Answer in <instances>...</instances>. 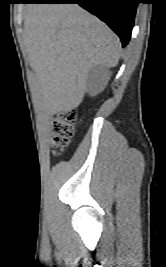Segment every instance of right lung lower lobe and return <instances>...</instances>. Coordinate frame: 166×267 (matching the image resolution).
I'll return each instance as SVG.
<instances>
[{
  "mask_svg": "<svg viewBox=\"0 0 166 267\" xmlns=\"http://www.w3.org/2000/svg\"><path fill=\"white\" fill-rule=\"evenodd\" d=\"M23 3H77L108 24L125 47L131 37L138 0H24Z\"/></svg>",
  "mask_w": 166,
  "mask_h": 267,
  "instance_id": "98d812e1",
  "label": "right lung lower lobe"
}]
</instances>
